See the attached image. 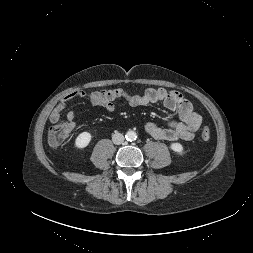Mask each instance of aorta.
I'll list each match as a JSON object with an SVG mask.
<instances>
[{
    "label": "aorta",
    "mask_w": 253,
    "mask_h": 253,
    "mask_svg": "<svg viewBox=\"0 0 253 253\" xmlns=\"http://www.w3.org/2000/svg\"><path fill=\"white\" fill-rule=\"evenodd\" d=\"M126 140L128 141H134L137 138L136 132L130 130L125 135Z\"/></svg>",
    "instance_id": "762f6f07"
}]
</instances>
